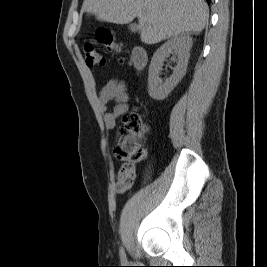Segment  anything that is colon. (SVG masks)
Wrapping results in <instances>:
<instances>
[{
	"mask_svg": "<svg viewBox=\"0 0 267 267\" xmlns=\"http://www.w3.org/2000/svg\"><path fill=\"white\" fill-rule=\"evenodd\" d=\"M107 50L120 51L118 43L110 31L101 29L97 32L95 40L89 41L84 46L86 63L90 67L104 66L106 58L99 46ZM147 126L137 111H131L123 116V126L119 132L118 142L114 149L116 158L125 162L129 168H134L143 161L145 156V133Z\"/></svg>",
	"mask_w": 267,
	"mask_h": 267,
	"instance_id": "obj_1",
	"label": "colon"
}]
</instances>
